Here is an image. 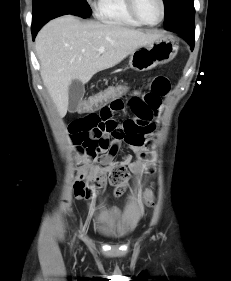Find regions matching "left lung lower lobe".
<instances>
[{
	"label": "left lung lower lobe",
	"mask_w": 231,
	"mask_h": 281,
	"mask_svg": "<svg viewBox=\"0 0 231 281\" xmlns=\"http://www.w3.org/2000/svg\"><path fill=\"white\" fill-rule=\"evenodd\" d=\"M168 30L177 32L184 36L193 50L195 38L194 16L184 17L175 21L171 26H169Z\"/></svg>",
	"instance_id": "0a47b994"
}]
</instances>
